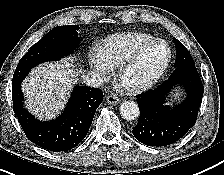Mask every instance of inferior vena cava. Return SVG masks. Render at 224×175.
<instances>
[{"instance_id": "obj_1", "label": "inferior vena cava", "mask_w": 224, "mask_h": 175, "mask_svg": "<svg viewBox=\"0 0 224 175\" xmlns=\"http://www.w3.org/2000/svg\"><path fill=\"white\" fill-rule=\"evenodd\" d=\"M83 82L91 87L99 88L103 85V79L95 72H88L83 78Z\"/></svg>"}]
</instances>
